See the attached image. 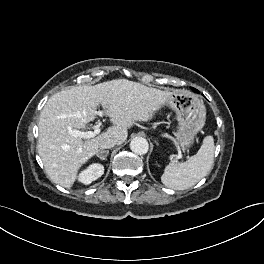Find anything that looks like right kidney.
<instances>
[{
	"label": "right kidney",
	"mask_w": 264,
	"mask_h": 264,
	"mask_svg": "<svg viewBox=\"0 0 264 264\" xmlns=\"http://www.w3.org/2000/svg\"><path fill=\"white\" fill-rule=\"evenodd\" d=\"M103 173L104 166L98 163H94L79 174L78 181L85 185H88L92 181H95L99 177H101Z\"/></svg>",
	"instance_id": "right-kidney-1"
}]
</instances>
